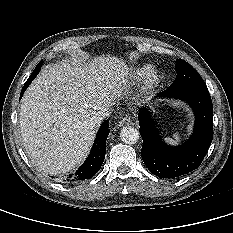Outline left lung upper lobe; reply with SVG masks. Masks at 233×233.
<instances>
[{
	"label": "left lung upper lobe",
	"instance_id": "left-lung-upper-lobe-1",
	"mask_svg": "<svg viewBox=\"0 0 233 233\" xmlns=\"http://www.w3.org/2000/svg\"><path fill=\"white\" fill-rule=\"evenodd\" d=\"M177 76L169 88L187 86H206L198 72L186 61L177 59L175 64Z\"/></svg>",
	"mask_w": 233,
	"mask_h": 233
}]
</instances>
